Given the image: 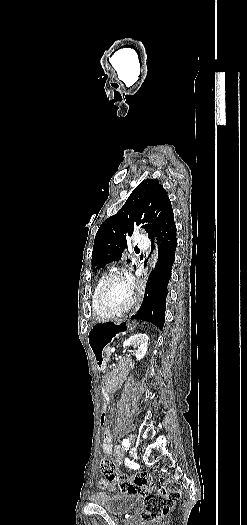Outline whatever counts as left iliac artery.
<instances>
[{
    "mask_svg": "<svg viewBox=\"0 0 247 525\" xmlns=\"http://www.w3.org/2000/svg\"><path fill=\"white\" fill-rule=\"evenodd\" d=\"M122 447H123V449H124L125 451H127V450L129 449V447H130V443H129L128 439H123V441H122Z\"/></svg>",
    "mask_w": 247,
    "mask_h": 525,
    "instance_id": "44dca946",
    "label": "left iliac artery"
}]
</instances>
